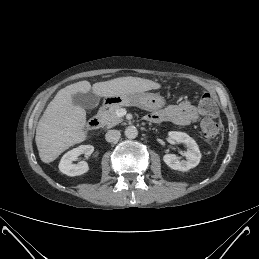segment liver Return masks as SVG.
<instances>
[{
	"label": "liver",
	"mask_w": 259,
	"mask_h": 259,
	"mask_svg": "<svg viewBox=\"0 0 259 259\" xmlns=\"http://www.w3.org/2000/svg\"><path fill=\"white\" fill-rule=\"evenodd\" d=\"M161 85L139 77H119L92 85L88 81L71 84L56 94L48 104L36 128V145L40 159L50 163L69 147L86 139L84 127L86 111L72 102V95L78 92L93 93L100 97L119 94L140 93L159 89Z\"/></svg>",
	"instance_id": "1"
}]
</instances>
